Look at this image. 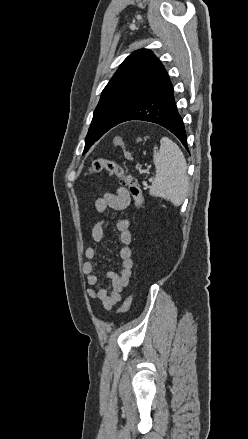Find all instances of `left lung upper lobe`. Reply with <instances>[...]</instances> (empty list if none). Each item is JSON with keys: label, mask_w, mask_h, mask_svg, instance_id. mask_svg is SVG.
Returning <instances> with one entry per match:
<instances>
[{"label": "left lung upper lobe", "mask_w": 248, "mask_h": 439, "mask_svg": "<svg viewBox=\"0 0 248 439\" xmlns=\"http://www.w3.org/2000/svg\"><path fill=\"white\" fill-rule=\"evenodd\" d=\"M164 72L162 63L148 49L137 50L124 60L102 91L83 154L130 112Z\"/></svg>", "instance_id": "obj_1"}]
</instances>
